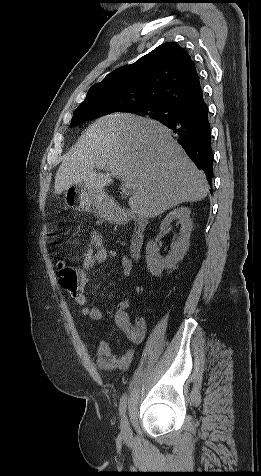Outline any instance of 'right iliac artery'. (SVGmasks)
Instances as JSON below:
<instances>
[{"instance_id":"right-iliac-artery-1","label":"right iliac artery","mask_w":261,"mask_h":476,"mask_svg":"<svg viewBox=\"0 0 261 476\" xmlns=\"http://www.w3.org/2000/svg\"><path fill=\"white\" fill-rule=\"evenodd\" d=\"M127 407L126 396L124 395L120 401L119 412L121 417H125Z\"/></svg>"}]
</instances>
